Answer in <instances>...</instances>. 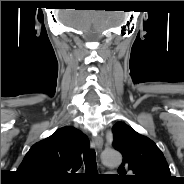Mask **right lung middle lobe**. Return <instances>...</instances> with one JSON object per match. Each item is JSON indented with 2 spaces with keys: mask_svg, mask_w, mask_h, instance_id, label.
Returning a JSON list of instances; mask_svg holds the SVG:
<instances>
[{
  "mask_svg": "<svg viewBox=\"0 0 184 184\" xmlns=\"http://www.w3.org/2000/svg\"><path fill=\"white\" fill-rule=\"evenodd\" d=\"M32 183H36V184H46V183H43V182H32Z\"/></svg>",
  "mask_w": 184,
  "mask_h": 184,
  "instance_id": "obj_1",
  "label": "right lung middle lobe"
}]
</instances>
